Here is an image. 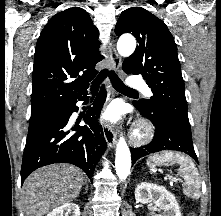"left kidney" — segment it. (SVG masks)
I'll return each mask as SVG.
<instances>
[{
  "label": "left kidney",
  "instance_id": "left-kidney-1",
  "mask_svg": "<svg viewBox=\"0 0 221 216\" xmlns=\"http://www.w3.org/2000/svg\"><path fill=\"white\" fill-rule=\"evenodd\" d=\"M135 199L136 202L142 204L153 202L157 207L163 209V215L159 216H181L174 195L163 186L142 182L135 189Z\"/></svg>",
  "mask_w": 221,
  "mask_h": 216
}]
</instances>
